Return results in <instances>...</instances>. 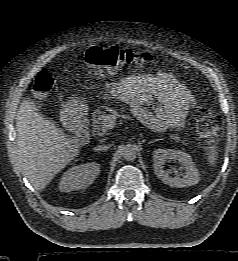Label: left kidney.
Here are the masks:
<instances>
[{
  "label": "left kidney",
  "instance_id": "obj_1",
  "mask_svg": "<svg viewBox=\"0 0 238 261\" xmlns=\"http://www.w3.org/2000/svg\"><path fill=\"white\" fill-rule=\"evenodd\" d=\"M178 160L185 169V175L182 178L179 176L170 177L163 169L166 161ZM153 167L155 175L162 180L163 183L177 188L196 185L199 180V173L195 167L192 158L189 154L171 149H156L153 152Z\"/></svg>",
  "mask_w": 238,
  "mask_h": 261
}]
</instances>
